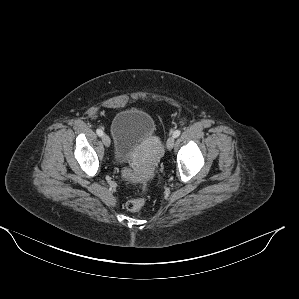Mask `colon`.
<instances>
[{
  "mask_svg": "<svg viewBox=\"0 0 299 299\" xmlns=\"http://www.w3.org/2000/svg\"><path fill=\"white\" fill-rule=\"evenodd\" d=\"M122 175L125 179H132V172L129 168H124L122 171ZM145 200L143 198H134L130 199L126 203V208L131 212H137L144 206Z\"/></svg>",
  "mask_w": 299,
  "mask_h": 299,
  "instance_id": "colon-1",
  "label": "colon"
}]
</instances>
